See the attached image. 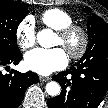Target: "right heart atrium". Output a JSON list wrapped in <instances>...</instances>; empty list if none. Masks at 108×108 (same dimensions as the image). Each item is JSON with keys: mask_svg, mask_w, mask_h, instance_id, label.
I'll use <instances>...</instances> for the list:
<instances>
[{"mask_svg": "<svg viewBox=\"0 0 108 108\" xmlns=\"http://www.w3.org/2000/svg\"><path fill=\"white\" fill-rule=\"evenodd\" d=\"M15 36L18 46L26 50L32 47L36 42V30L34 20L27 16L18 24Z\"/></svg>", "mask_w": 108, "mask_h": 108, "instance_id": "d8ad5b80", "label": "right heart atrium"}]
</instances>
